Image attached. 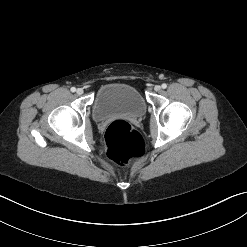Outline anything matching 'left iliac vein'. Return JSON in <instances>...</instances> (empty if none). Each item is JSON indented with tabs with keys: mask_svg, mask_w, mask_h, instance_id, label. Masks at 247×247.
Segmentation results:
<instances>
[{
	"mask_svg": "<svg viewBox=\"0 0 247 247\" xmlns=\"http://www.w3.org/2000/svg\"><path fill=\"white\" fill-rule=\"evenodd\" d=\"M154 90H155V91H160V90H161V86L156 85V86L154 87Z\"/></svg>",
	"mask_w": 247,
	"mask_h": 247,
	"instance_id": "4c4485c4",
	"label": "left iliac vein"
}]
</instances>
